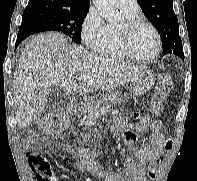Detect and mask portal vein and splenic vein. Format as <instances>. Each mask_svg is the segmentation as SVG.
<instances>
[{
	"label": "portal vein and splenic vein",
	"mask_w": 197,
	"mask_h": 181,
	"mask_svg": "<svg viewBox=\"0 0 197 181\" xmlns=\"http://www.w3.org/2000/svg\"><path fill=\"white\" fill-rule=\"evenodd\" d=\"M80 81H87L90 79V76L88 75H80L78 78Z\"/></svg>",
	"instance_id": "18ae733b"
}]
</instances>
